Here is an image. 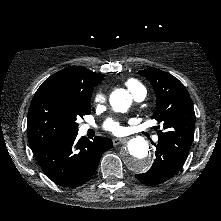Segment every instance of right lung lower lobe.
I'll list each match as a JSON object with an SVG mask.
<instances>
[{
	"label": "right lung lower lobe",
	"instance_id": "98d812e1",
	"mask_svg": "<svg viewBox=\"0 0 221 221\" xmlns=\"http://www.w3.org/2000/svg\"><path fill=\"white\" fill-rule=\"evenodd\" d=\"M78 132L30 145L45 174L56 184L78 187L94 175L102 154L113 147L110 139L85 137Z\"/></svg>",
	"mask_w": 221,
	"mask_h": 221
}]
</instances>
